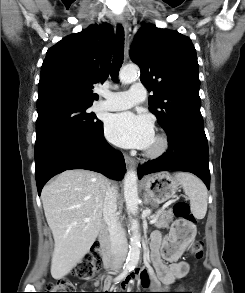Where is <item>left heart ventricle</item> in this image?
I'll list each match as a JSON object with an SVG mask.
<instances>
[{"label":"left heart ventricle","mask_w":245,"mask_h":293,"mask_svg":"<svg viewBox=\"0 0 245 293\" xmlns=\"http://www.w3.org/2000/svg\"><path fill=\"white\" fill-rule=\"evenodd\" d=\"M154 146H155V140H153V142L151 143L149 147H154Z\"/></svg>","instance_id":"1"}]
</instances>
